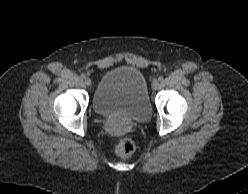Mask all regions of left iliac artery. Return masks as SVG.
Here are the masks:
<instances>
[{
	"label": "left iliac artery",
	"instance_id": "obj_1",
	"mask_svg": "<svg viewBox=\"0 0 248 194\" xmlns=\"http://www.w3.org/2000/svg\"><path fill=\"white\" fill-rule=\"evenodd\" d=\"M158 80H159V81H163V77L160 76V77L158 78Z\"/></svg>",
	"mask_w": 248,
	"mask_h": 194
}]
</instances>
